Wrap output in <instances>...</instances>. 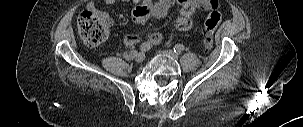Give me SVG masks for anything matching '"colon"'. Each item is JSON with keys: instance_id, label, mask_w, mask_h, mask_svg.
Masks as SVG:
<instances>
[{"instance_id": "5ec220e1", "label": "colon", "mask_w": 303, "mask_h": 127, "mask_svg": "<svg viewBox=\"0 0 303 127\" xmlns=\"http://www.w3.org/2000/svg\"><path fill=\"white\" fill-rule=\"evenodd\" d=\"M210 10L205 21L204 46L206 49L213 47L214 34L222 19L219 7H212ZM77 26L83 42L88 46H98L107 38V28L95 11L82 12L78 17Z\"/></svg>"}]
</instances>
